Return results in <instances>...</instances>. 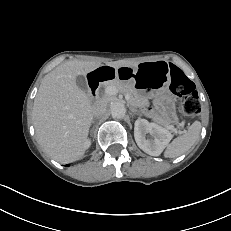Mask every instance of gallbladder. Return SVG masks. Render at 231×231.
<instances>
[{
	"mask_svg": "<svg viewBox=\"0 0 231 231\" xmlns=\"http://www.w3.org/2000/svg\"><path fill=\"white\" fill-rule=\"evenodd\" d=\"M76 84L81 90H83L85 92L88 90L87 81H86L84 76H81V75L77 76L76 77Z\"/></svg>",
	"mask_w": 231,
	"mask_h": 231,
	"instance_id": "bac80fb5",
	"label": "gallbladder"
}]
</instances>
